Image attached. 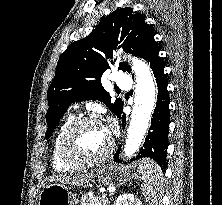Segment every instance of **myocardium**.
Instances as JSON below:
<instances>
[{"label":"myocardium","instance_id":"myocardium-1","mask_svg":"<svg viewBox=\"0 0 222 205\" xmlns=\"http://www.w3.org/2000/svg\"><path fill=\"white\" fill-rule=\"evenodd\" d=\"M91 123L102 125L100 120H98L97 118H94L91 116H82L73 120L63 132L60 139V154H61L62 159L67 164H70L76 167L95 166L106 161L112 154L113 149H114V140L110 133H109L108 145L105 151L99 156L90 158V159H83L72 153L68 145L69 139L71 138L72 134L81 126L85 124H91Z\"/></svg>","mask_w":222,"mask_h":205}]
</instances>
